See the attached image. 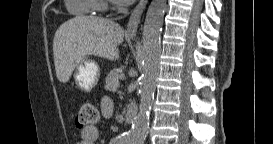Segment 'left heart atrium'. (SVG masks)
I'll return each mask as SVG.
<instances>
[{"label": "left heart atrium", "instance_id": "left-heart-atrium-1", "mask_svg": "<svg viewBox=\"0 0 273 144\" xmlns=\"http://www.w3.org/2000/svg\"><path fill=\"white\" fill-rule=\"evenodd\" d=\"M117 2L121 3V4H125L128 5L130 4L133 0H116Z\"/></svg>", "mask_w": 273, "mask_h": 144}]
</instances>
